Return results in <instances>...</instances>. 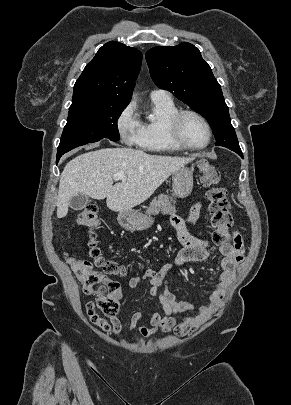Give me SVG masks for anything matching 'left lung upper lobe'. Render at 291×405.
Masks as SVG:
<instances>
[{
    "instance_id": "obj_1",
    "label": "left lung upper lobe",
    "mask_w": 291,
    "mask_h": 405,
    "mask_svg": "<svg viewBox=\"0 0 291 405\" xmlns=\"http://www.w3.org/2000/svg\"><path fill=\"white\" fill-rule=\"evenodd\" d=\"M145 56L154 83L208 120L215 145L240 150L221 86L198 48L182 42L174 47H154Z\"/></svg>"
}]
</instances>
